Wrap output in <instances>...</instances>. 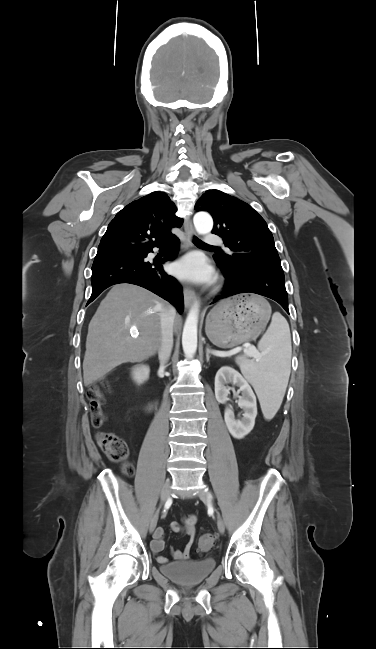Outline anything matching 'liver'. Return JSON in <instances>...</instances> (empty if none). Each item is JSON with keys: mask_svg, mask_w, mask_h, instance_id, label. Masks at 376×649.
<instances>
[{"mask_svg": "<svg viewBox=\"0 0 376 649\" xmlns=\"http://www.w3.org/2000/svg\"><path fill=\"white\" fill-rule=\"evenodd\" d=\"M168 307L147 289L129 283L114 285L88 326L84 385L102 379L122 363L153 356L161 341L160 315ZM180 325L181 318L176 316V328Z\"/></svg>", "mask_w": 376, "mask_h": 649, "instance_id": "obj_1", "label": "liver"}]
</instances>
